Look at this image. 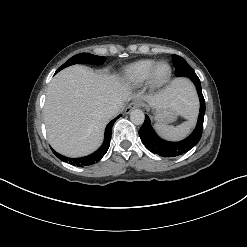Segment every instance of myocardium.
Instances as JSON below:
<instances>
[{
	"label": "myocardium",
	"mask_w": 247,
	"mask_h": 247,
	"mask_svg": "<svg viewBox=\"0 0 247 247\" xmlns=\"http://www.w3.org/2000/svg\"><path fill=\"white\" fill-rule=\"evenodd\" d=\"M167 66V73L164 76L159 75V69L161 66ZM172 76V68L171 65L166 62V61H159L157 62L154 67L152 68L149 78H148V83L150 87L152 88H157L165 85L171 78Z\"/></svg>",
	"instance_id": "obj_1"
}]
</instances>
